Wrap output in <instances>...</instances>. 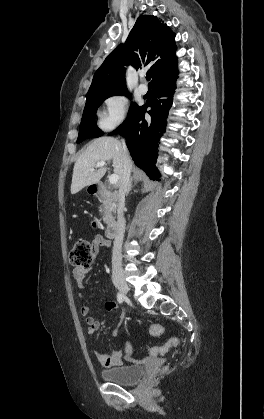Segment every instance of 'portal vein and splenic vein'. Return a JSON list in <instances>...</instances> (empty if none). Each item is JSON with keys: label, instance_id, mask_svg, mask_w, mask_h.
Wrapping results in <instances>:
<instances>
[{"label": "portal vein and splenic vein", "instance_id": "18ae733b", "mask_svg": "<svg viewBox=\"0 0 264 419\" xmlns=\"http://www.w3.org/2000/svg\"><path fill=\"white\" fill-rule=\"evenodd\" d=\"M105 165H107L106 164V162H104V161H102V162H99V163H97L96 164V168H99V167H103V166H105ZM94 170V168H92L91 169V171H93ZM118 176L117 175H115V174H112L110 177H109V182H110V184H117L118 183Z\"/></svg>", "mask_w": 264, "mask_h": 419}]
</instances>
